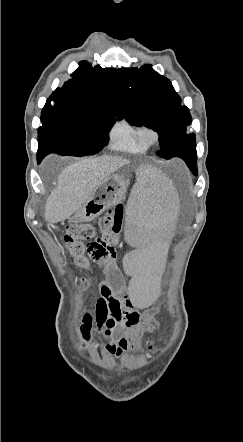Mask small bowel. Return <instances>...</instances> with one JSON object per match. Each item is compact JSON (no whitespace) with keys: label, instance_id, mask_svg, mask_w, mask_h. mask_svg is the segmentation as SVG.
Segmentation results:
<instances>
[{"label":"small bowel","instance_id":"obj_1","mask_svg":"<svg viewBox=\"0 0 243 442\" xmlns=\"http://www.w3.org/2000/svg\"><path fill=\"white\" fill-rule=\"evenodd\" d=\"M94 261L104 268L108 279L99 285L100 296L94 308L83 311L79 333L83 339H88L95 325L96 333L106 340L103 353L119 359L138 349L145 335L157 329V310L138 313L127 296L116 253L109 262Z\"/></svg>","mask_w":243,"mask_h":442}]
</instances>
